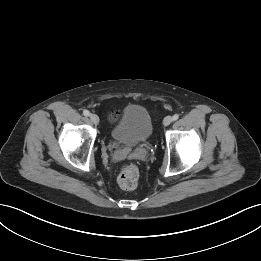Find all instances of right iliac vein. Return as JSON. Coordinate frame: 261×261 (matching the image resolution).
<instances>
[{"mask_svg":"<svg viewBox=\"0 0 261 261\" xmlns=\"http://www.w3.org/2000/svg\"><path fill=\"white\" fill-rule=\"evenodd\" d=\"M90 120L93 124H99V117L96 114H90Z\"/></svg>","mask_w":261,"mask_h":261,"instance_id":"right-iliac-vein-1","label":"right iliac vein"}]
</instances>
